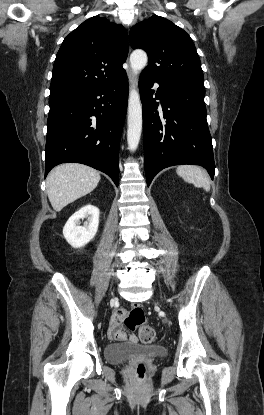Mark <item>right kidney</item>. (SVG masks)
<instances>
[{
  "label": "right kidney",
  "mask_w": 264,
  "mask_h": 415,
  "mask_svg": "<svg viewBox=\"0 0 264 415\" xmlns=\"http://www.w3.org/2000/svg\"><path fill=\"white\" fill-rule=\"evenodd\" d=\"M99 214L96 206L88 204L68 219L63 228V235L73 248H81L95 237L99 225ZM81 219H86L83 226L79 225Z\"/></svg>",
  "instance_id": "ca27d5eb"
}]
</instances>
